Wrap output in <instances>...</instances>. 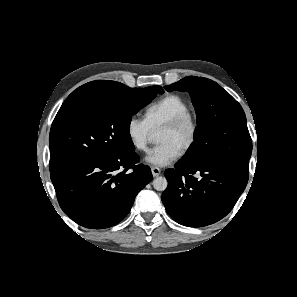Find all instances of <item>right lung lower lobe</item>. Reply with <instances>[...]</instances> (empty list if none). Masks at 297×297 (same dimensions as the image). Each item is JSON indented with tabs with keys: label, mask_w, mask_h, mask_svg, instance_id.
Listing matches in <instances>:
<instances>
[{
	"label": "right lung lower lobe",
	"mask_w": 297,
	"mask_h": 297,
	"mask_svg": "<svg viewBox=\"0 0 297 297\" xmlns=\"http://www.w3.org/2000/svg\"><path fill=\"white\" fill-rule=\"evenodd\" d=\"M138 163L132 151L77 159L57 168L50 176L61 209L83 227L118 224L152 180L150 167Z\"/></svg>",
	"instance_id": "1"
}]
</instances>
